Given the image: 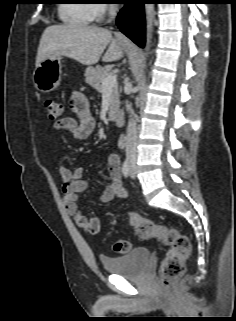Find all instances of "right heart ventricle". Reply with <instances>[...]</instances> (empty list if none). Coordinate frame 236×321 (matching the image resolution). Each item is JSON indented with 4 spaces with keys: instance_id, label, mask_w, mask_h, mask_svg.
<instances>
[{
    "instance_id": "right-heart-ventricle-1",
    "label": "right heart ventricle",
    "mask_w": 236,
    "mask_h": 321,
    "mask_svg": "<svg viewBox=\"0 0 236 321\" xmlns=\"http://www.w3.org/2000/svg\"><path fill=\"white\" fill-rule=\"evenodd\" d=\"M89 0H69L59 7L61 20L70 25H88L92 21Z\"/></svg>"
}]
</instances>
